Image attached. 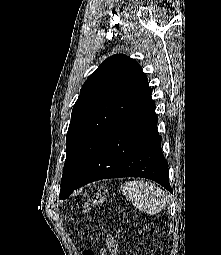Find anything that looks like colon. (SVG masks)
<instances>
[{
    "mask_svg": "<svg viewBox=\"0 0 221 255\" xmlns=\"http://www.w3.org/2000/svg\"><path fill=\"white\" fill-rule=\"evenodd\" d=\"M104 200L105 198L102 194H94L85 199L81 206V210L83 212H89L90 210L101 206L104 203ZM83 255H95V253L92 249H85Z\"/></svg>",
    "mask_w": 221,
    "mask_h": 255,
    "instance_id": "colon-1",
    "label": "colon"
}]
</instances>
